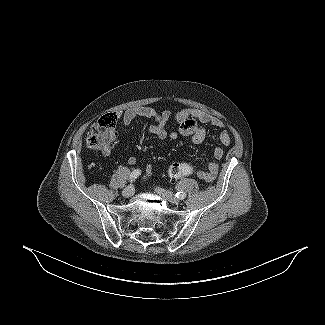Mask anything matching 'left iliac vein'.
Instances as JSON below:
<instances>
[{
    "label": "left iliac vein",
    "instance_id": "1",
    "mask_svg": "<svg viewBox=\"0 0 325 325\" xmlns=\"http://www.w3.org/2000/svg\"><path fill=\"white\" fill-rule=\"evenodd\" d=\"M155 191H156L157 194L164 197L165 199H167L171 203L176 204V203L179 202V199L169 191H166V190H164V189H162L160 187H156Z\"/></svg>",
    "mask_w": 325,
    "mask_h": 325
}]
</instances>
